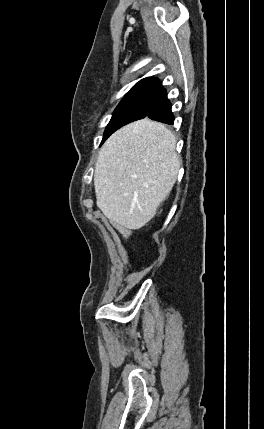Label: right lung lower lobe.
Returning <instances> with one entry per match:
<instances>
[{
  "mask_svg": "<svg viewBox=\"0 0 264 429\" xmlns=\"http://www.w3.org/2000/svg\"><path fill=\"white\" fill-rule=\"evenodd\" d=\"M146 116L156 121L173 124L174 116L171 112V103L167 99L165 89H163L161 96L157 99Z\"/></svg>",
  "mask_w": 264,
  "mask_h": 429,
  "instance_id": "right-lung-lower-lobe-1",
  "label": "right lung lower lobe"
}]
</instances>
